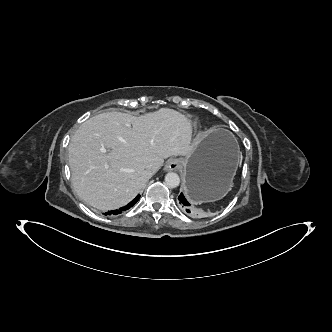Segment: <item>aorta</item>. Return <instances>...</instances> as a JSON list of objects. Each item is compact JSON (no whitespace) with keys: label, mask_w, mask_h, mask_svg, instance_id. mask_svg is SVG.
Returning a JSON list of instances; mask_svg holds the SVG:
<instances>
[{"label":"aorta","mask_w":332,"mask_h":332,"mask_svg":"<svg viewBox=\"0 0 332 332\" xmlns=\"http://www.w3.org/2000/svg\"><path fill=\"white\" fill-rule=\"evenodd\" d=\"M165 183L170 188H176L180 184V178L177 173L170 172L165 176Z\"/></svg>","instance_id":"762f6f07"}]
</instances>
